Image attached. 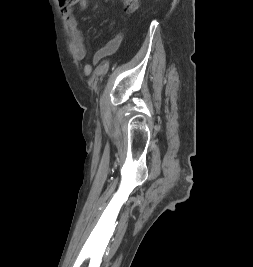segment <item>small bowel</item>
Here are the masks:
<instances>
[{"label":"small bowel","mask_w":253,"mask_h":267,"mask_svg":"<svg viewBox=\"0 0 253 267\" xmlns=\"http://www.w3.org/2000/svg\"><path fill=\"white\" fill-rule=\"evenodd\" d=\"M81 2H82V5H85V0H81ZM62 12L66 20V23L70 29L71 42H72L74 54L77 59L82 60L87 55V49L84 44L83 34H82L81 29L79 28L78 21L73 15L72 9L63 8ZM122 40H123L122 33H118L117 35H115L102 48H100L96 52L94 56V62H99L100 60L114 54L120 47Z\"/></svg>","instance_id":"small-bowel-1"}]
</instances>
